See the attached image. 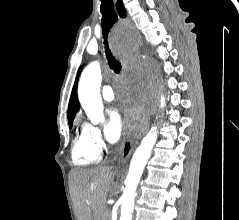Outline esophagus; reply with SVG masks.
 I'll return each instance as SVG.
<instances>
[{"label": "esophagus", "instance_id": "1", "mask_svg": "<svg viewBox=\"0 0 239 220\" xmlns=\"http://www.w3.org/2000/svg\"><path fill=\"white\" fill-rule=\"evenodd\" d=\"M115 5L117 7V12L121 18H125L126 15L128 14V11L125 10V7L123 5L122 0H114ZM138 55V52L135 53V56ZM149 127L148 119L145 120L144 122V128L142 131V134H144ZM142 134H140L137 137H130L129 135L127 136L125 143L122 146L121 154H120V159H119V164L123 165L127 162V160L130 158L135 144L138 141L139 138H141Z\"/></svg>", "mask_w": 239, "mask_h": 220}]
</instances>
